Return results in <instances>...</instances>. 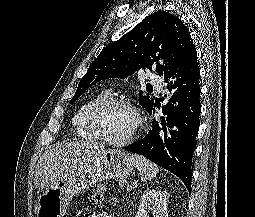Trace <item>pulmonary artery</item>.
Wrapping results in <instances>:
<instances>
[{
	"label": "pulmonary artery",
	"instance_id": "pulmonary-artery-1",
	"mask_svg": "<svg viewBox=\"0 0 255 217\" xmlns=\"http://www.w3.org/2000/svg\"><path fill=\"white\" fill-rule=\"evenodd\" d=\"M149 80H150V83L155 86L157 89H162L163 87V80L161 77L159 76H156V75H150L149 76Z\"/></svg>",
	"mask_w": 255,
	"mask_h": 217
}]
</instances>
